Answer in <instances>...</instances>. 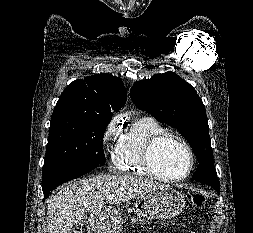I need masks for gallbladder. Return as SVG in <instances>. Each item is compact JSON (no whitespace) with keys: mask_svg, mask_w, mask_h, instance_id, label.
<instances>
[{"mask_svg":"<svg viewBox=\"0 0 253 233\" xmlns=\"http://www.w3.org/2000/svg\"><path fill=\"white\" fill-rule=\"evenodd\" d=\"M86 222V219H83L82 221H81V223H85Z\"/></svg>","mask_w":253,"mask_h":233,"instance_id":"bac80fb5","label":"gallbladder"}]
</instances>
